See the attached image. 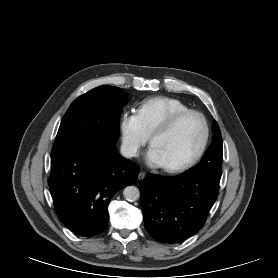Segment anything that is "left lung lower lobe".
<instances>
[{"label": "left lung lower lobe", "instance_id": "0a47b994", "mask_svg": "<svg viewBox=\"0 0 278 278\" xmlns=\"http://www.w3.org/2000/svg\"><path fill=\"white\" fill-rule=\"evenodd\" d=\"M219 179L149 175L140 184L145 229L156 240L180 242L197 233L218 197Z\"/></svg>", "mask_w": 278, "mask_h": 278}]
</instances>
